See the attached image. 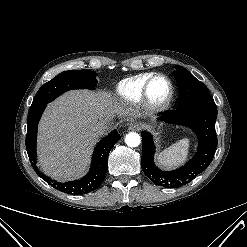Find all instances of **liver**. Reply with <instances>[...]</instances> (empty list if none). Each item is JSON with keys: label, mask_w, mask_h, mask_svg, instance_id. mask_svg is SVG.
<instances>
[{"label": "liver", "mask_w": 247, "mask_h": 247, "mask_svg": "<svg viewBox=\"0 0 247 247\" xmlns=\"http://www.w3.org/2000/svg\"><path fill=\"white\" fill-rule=\"evenodd\" d=\"M140 114L131 112L105 91L72 90L50 103L38 128L39 166L57 180L81 175L99 139L93 131L101 120Z\"/></svg>", "instance_id": "1"}]
</instances>
